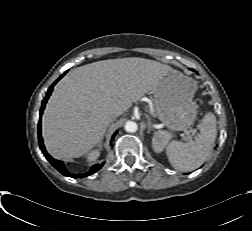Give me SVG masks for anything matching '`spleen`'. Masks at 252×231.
<instances>
[{"label": "spleen", "instance_id": "spleen-1", "mask_svg": "<svg viewBox=\"0 0 252 231\" xmlns=\"http://www.w3.org/2000/svg\"><path fill=\"white\" fill-rule=\"evenodd\" d=\"M216 136V117L208 112L200 124V133L194 141L188 143L173 141L167 146L169 162L179 171L195 170L210 155Z\"/></svg>", "mask_w": 252, "mask_h": 231}]
</instances>
